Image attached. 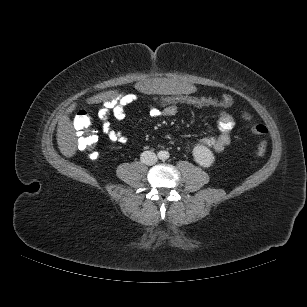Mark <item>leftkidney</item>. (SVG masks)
Returning <instances> with one entry per match:
<instances>
[{"mask_svg":"<svg viewBox=\"0 0 307 307\" xmlns=\"http://www.w3.org/2000/svg\"><path fill=\"white\" fill-rule=\"evenodd\" d=\"M193 156L195 161L202 167H210L215 161L213 152L202 144H197L194 147Z\"/></svg>","mask_w":307,"mask_h":307,"instance_id":"obj_1","label":"left kidney"}]
</instances>
